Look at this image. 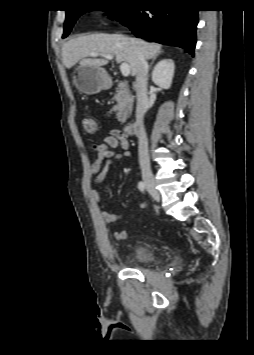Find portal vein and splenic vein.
Returning <instances> with one entry per match:
<instances>
[{
	"mask_svg": "<svg viewBox=\"0 0 254 355\" xmlns=\"http://www.w3.org/2000/svg\"><path fill=\"white\" fill-rule=\"evenodd\" d=\"M91 57H97L99 55L105 57L106 59L108 60H112L113 59V55H109V54H100V53H97V52H91L89 54ZM120 70H121V73L124 77H127L129 74H130V66L128 63H122L120 65Z\"/></svg>",
	"mask_w": 254,
	"mask_h": 355,
	"instance_id": "portal-vein-and-splenic-vein-1",
	"label": "portal vein and splenic vein"
}]
</instances>
